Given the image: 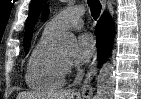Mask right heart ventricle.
Returning <instances> with one entry per match:
<instances>
[{
    "label": "right heart ventricle",
    "mask_w": 141,
    "mask_h": 99,
    "mask_svg": "<svg viewBox=\"0 0 141 99\" xmlns=\"http://www.w3.org/2000/svg\"><path fill=\"white\" fill-rule=\"evenodd\" d=\"M56 34L43 31L33 48L25 73L29 88L37 91H50L65 84L66 70L59 64L53 52Z\"/></svg>",
    "instance_id": "right-heart-ventricle-1"
}]
</instances>
